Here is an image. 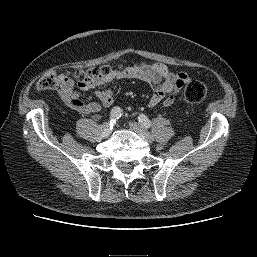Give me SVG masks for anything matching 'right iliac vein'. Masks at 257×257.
<instances>
[{
    "label": "right iliac vein",
    "instance_id": "obj_1",
    "mask_svg": "<svg viewBox=\"0 0 257 257\" xmlns=\"http://www.w3.org/2000/svg\"><path fill=\"white\" fill-rule=\"evenodd\" d=\"M110 131H111V127L108 123H104L100 125L97 132V138L99 140L106 138L110 134Z\"/></svg>",
    "mask_w": 257,
    "mask_h": 257
}]
</instances>
